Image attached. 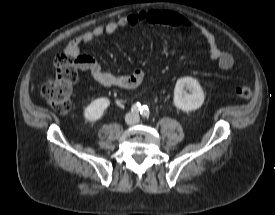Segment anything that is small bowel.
<instances>
[{
    "instance_id": "obj_1",
    "label": "small bowel",
    "mask_w": 275,
    "mask_h": 215,
    "mask_svg": "<svg viewBox=\"0 0 275 215\" xmlns=\"http://www.w3.org/2000/svg\"><path fill=\"white\" fill-rule=\"evenodd\" d=\"M142 23L182 27L196 31L206 39L209 47V56L211 60L217 62L221 70L227 71L233 67L232 56L219 48L214 35L208 29L178 12L159 9L136 12L106 24L98 25L92 30L86 31L72 39L65 47L63 55L72 60V64L76 69L87 73L94 81L103 86L135 88L142 84L145 79L143 70L135 68L129 74H114L104 71L94 57L81 54V45L89 43L104 34H113L119 29L132 28Z\"/></svg>"
}]
</instances>
